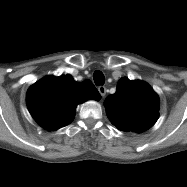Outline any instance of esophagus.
Listing matches in <instances>:
<instances>
[{"label":"esophagus","mask_w":187,"mask_h":187,"mask_svg":"<svg viewBox=\"0 0 187 187\" xmlns=\"http://www.w3.org/2000/svg\"><path fill=\"white\" fill-rule=\"evenodd\" d=\"M98 91H99V93H100V95H101L102 97L105 96V94H106V88H105L104 86L100 85V86L98 87Z\"/></svg>","instance_id":"1"}]
</instances>
